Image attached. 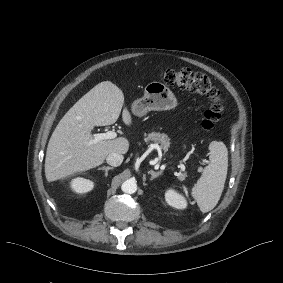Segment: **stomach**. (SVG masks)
<instances>
[{"instance_id":"1","label":"stomach","mask_w":283,"mask_h":283,"mask_svg":"<svg viewBox=\"0 0 283 283\" xmlns=\"http://www.w3.org/2000/svg\"><path fill=\"white\" fill-rule=\"evenodd\" d=\"M177 106V99L172 91L163 83L151 82L146 85L144 96L132 104V112L138 117L148 111L170 110Z\"/></svg>"}]
</instances>
